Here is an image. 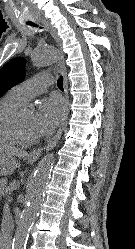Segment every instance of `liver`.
I'll use <instances>...</instances> for the list:
<instances>
[{
	"label": "liver",
	"mask_w": 135,
	"mask_h": 249,
	"mask_svg": "<svg viewBox=\"0 0 135 249\" xmlns=\"http://www.w3.org/2000/svg\"><path fill=\"white\" fill-rule=\"evenodd\" d=\"M0 150L5 151L6 153L17 156V157H25L27 156V153L19 148L11 147V146H0Z\"/></svg>",
	"instance_id": "6515ba94"
}]
</instances>
